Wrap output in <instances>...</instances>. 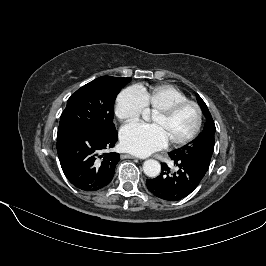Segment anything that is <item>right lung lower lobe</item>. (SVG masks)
<instances>
[{"label": "right lung lower lobe", "mask_w": 266, "mask_h": 266, "mask_svg": "<svg viewBox=\"0 0 266 266\" xmlns=\"http://www.w3.org/2000/svg\"><path fill=\"white\" fill-rule=\"evenodd\" d=\"M117 140L116 130L106 134L80 128L58 131L57 153L67 179L83 191L106 187L114 176L120 155L102 153L114 147Z\"/></svg>", "instance_id": "right-lung-lower-lobe-1"}]
</instances>
